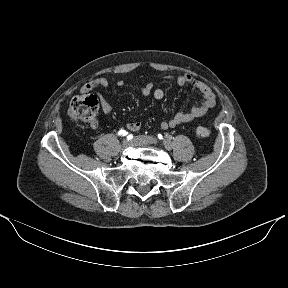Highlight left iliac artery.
Returning a JSON list of instances; mask_svg holds the SVG:
<instances>
[{"label":"left iliac artery","instance_id":"left-iliac-artery-1","mask_svg":"<svg viewBox=\"0 0 288 288\" xmlns=\"http://www.w3.org/2000/svg\"><path fill=\"white\" fill-rule=\"evenodd\" d=\"M159 139H163V136L161 134H158Z\"/></svg>","mask_w":288,"mask_h":288}]
</instances>
